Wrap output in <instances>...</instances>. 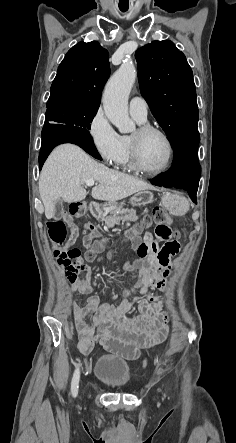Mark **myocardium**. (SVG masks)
Listing matches in <instances>:
<instances>
[{
    "label": "myocardium",
    "instance_id": "myocardium-1",
    "mask_svg": "<svg viewBox=\"0 0 236 443\" xmlns=\"http://www.w3.org/2000/svg\"><path fill=\"white\" fill-rule=\"evenodd\" d=\"M150 133H157L160 136H162L167 143L169 151V156L166 164L162 168L157 170H152L147 168L143 164L141 159V153H140L141 139ZM130 148H131V157L134 168L139 172L147 175H159L166 172L171 167L174 160L175 150L170 136L163 129L155 125L147 123L140 124L136 129L135 133L130 136Z\"/></svg>",
    "mask_w": 236,
    "mask_h": 443
}]
</instances>
